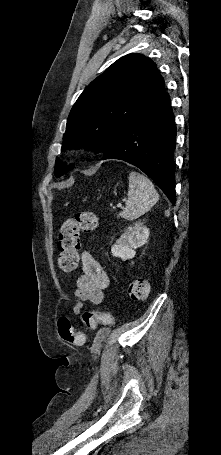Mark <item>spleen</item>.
<instances>
[{
  "label": "spleen",
  "mask_w": 221,
  "mask_h": 455,
  "mask_svg": "<svg viewBox=\"0 0 221 455\" xmlns=\"http://www.w3.org/2000/svg\"><path fill=\"white\" fill-rule=\"evenodd\" d=\"M128 179V200L118 217L133 221L148 212L159 200V195L153 183L146 176L132 171Z\"/></svg>",
  "instance_id": "3e777b00"
}]
</instances>
